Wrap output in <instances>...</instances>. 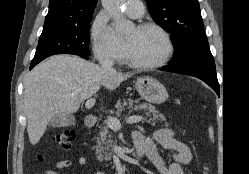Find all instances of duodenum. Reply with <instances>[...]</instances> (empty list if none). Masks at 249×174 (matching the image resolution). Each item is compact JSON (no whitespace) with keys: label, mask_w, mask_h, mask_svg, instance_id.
Returning a JSON list of instances; mask_svg holds the SVG:
<instances>
[{"label":"duodenum","mask_w":249,"mask_h":174,"mask_svg":"<svg viewBox=\"0 0 249 174\" xmlns=\"http://www.w3.org/2000/svg\"><path fill=\"white\" fill-rule=\"evenodd\" d=\"M85 125L87 128H93L96 125V118L92 115H88L85 118ZM145 155V145L141 143H135L134 159L139 161Z\"/></svg>","instance_id":"duodenum-1"}]
</instances>
